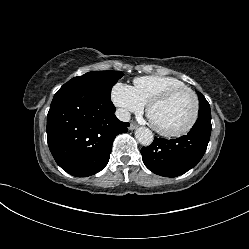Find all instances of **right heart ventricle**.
<instances>
[{
	"label": "right heart ventricle",
	"mask_w": 249,
	"mask_h": 249,
	"mask_svg": "<svg viewBox=\"0 0 249 249\" xmlns=\"http://www.w3.org/2000/svg\"><path fill=\"white\" fill-rule=\"evenodd\" d=\"M133 82L136 94L145 105L170 89L186 86L184 82L175 77L163 75L137 77Z\"/></svg>",
	"instance_id": "right-heart-ventricle-1"
}]
</instances>
